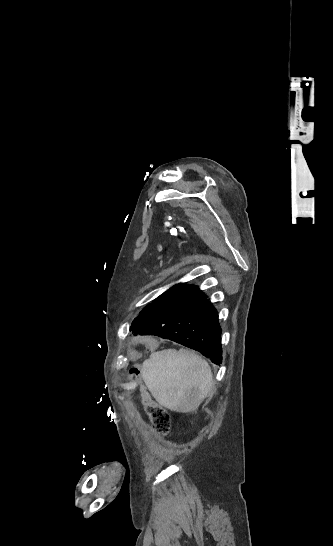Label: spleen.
<instances>
[{"instance_id": "3e777b00", "label": "spleen", "mask_w": 333, "mask_h": 546, "mask_svg": "<svg viewBox=\"0 0 333 546\" xmlns=\"http://www.w3.org/2000/svg\"><path fill=\"white\" fill-rule=\"evenodd\" d=\"M141 373L156 401L175 412L197 409L214 385L209 364L186 349L153 352Z\"/></svg>"}]
</instances>
